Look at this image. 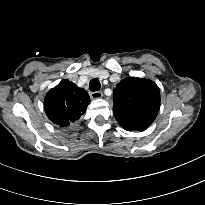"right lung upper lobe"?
<instances>
[{
    "instance_id": "obj_1",
    "label": "right lung upper lobe",
    "mask_w": 205,
    "mask_h": 205,
    "mask_svg": "<svg viewBox=\"0 0 205 205\" xmlns=\"http://www.w3.org/2000/svg\"><path fill=\"white\" fill-rule=\"evenodd\" d=\"M90 103L86 90L65 79L52 88L44 99V109L48 118L60 127L79 120Z\"/></svg>"
}]
</instances>
